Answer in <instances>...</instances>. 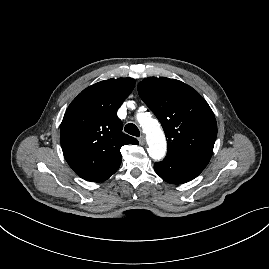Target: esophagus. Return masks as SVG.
<instances>
[{"label":"esophagus","instance_id":"1","mask_svg":"<svg viewBox=\"0 0 269 269\" xmlns=\"http://www.w3.org/2000/svg\"><path fill=\"white\" fill-rule=\"evenodd\" d=\"M145 142H146V138H145V136H144V135L140 136V137H139V143H140L141 145H144Z\"/></svg>","mask_w":269,"mask_h":269}]
</instances>
